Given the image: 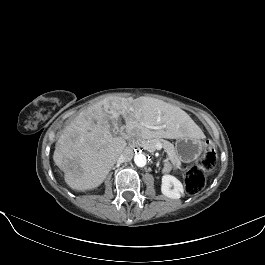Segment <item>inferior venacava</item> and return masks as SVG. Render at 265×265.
I'll list each match as a JSON object with an SVG mask.
<instances>
[{"mask_svg":"<svg viewBox=\"0 0 265 265\" xmlns=\"http://www.w3.org/2000/svg\"><path fill=\"white\" fill-rule=\"evenodd\" d=\"M133 157V150L131 148H126L122 152V154L119 156L118 160L119 161H129Z\"/></svg>","mask_w":265,"mask_h":265,"instance_id":"602c4592","label":"inferior vena cava"}]
</instances>
